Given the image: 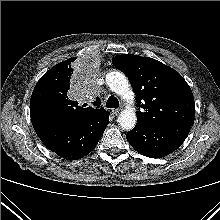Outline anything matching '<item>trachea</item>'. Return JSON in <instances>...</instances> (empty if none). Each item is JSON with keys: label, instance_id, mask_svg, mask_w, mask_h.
Instances as JSON below:
<instances>
[{"label": "trachea", "instance_id": "trachea-1", "mask_svg": "<svg viewBox=\"0 0 220 220\" xmlns=\"http://www.w3.org/2000/svg\"><path fill=\"white\" fill-rule=\"evenodd\" d=\"M106 106H107V108H115L116 109L119 107V101L115 96L112 95L107 99Z\"/></svg>", "mask_w": 220, "mask_h": 220}]
</instances>
